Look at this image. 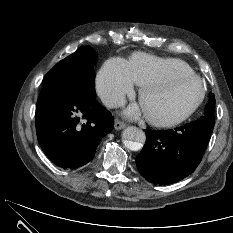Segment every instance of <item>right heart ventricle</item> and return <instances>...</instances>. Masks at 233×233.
Instances as JSON below:
<instances>
[{
	"mask_svg": "<svg viewBox=\"0 0 233 233\" xmlns=\"http://www.w3.org/2000/svg\"><path fill=\"white\" fill-rule=\"evenodd\" d=\"M126 64L129 75L137 86L163 76L193 73V69L180 59L163 58L141 52L133 54Z\"/></svg>",
	"mask_w": 233,
	"mask_h": 233,
	"instance_id": "e07e8e85",
	"label": "right heart ventricle"
}]
</instances>
